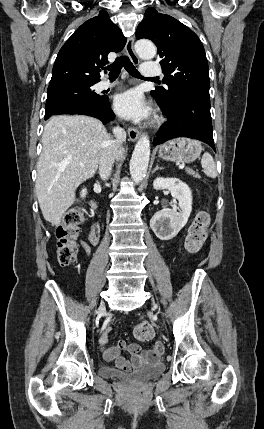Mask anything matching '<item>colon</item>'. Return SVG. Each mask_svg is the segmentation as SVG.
<instances>
[{
	"label": "colon",
	"mask_w": 264,
	"mask_h": 429,
	"mask_svg": "<svg viewBox=\"0 0 264 429\" xmlns=\"http://www.w3.org/2000/svg\"><path fill=\"white\" fill-rule=\"evenodd\" d=\"M210 217L206 211H200L188 228L185 238V249L189 253H197L207 237V227ZM83 222L82 212L75 208L68 211L62 224L56 230L58 261L62 266L71 265L78 253L76 243L80 234V225ZM135 338L139 341H149L154 336V329L148 322H140L134 329Z\"/></svg>",
	"instance_id": "colon-1"
}]
</instances>
